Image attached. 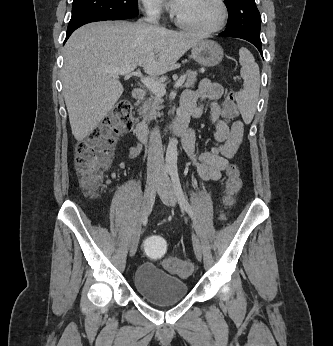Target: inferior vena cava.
Instances as JSON below:
<instances>
[{"label": "inferior vena cava", "mask_w": 333, "mask_h": 346, "mask_svg": "<svg viewBox=\"0 0 333 346\" xmlns=\"http://www.w3.org/2000/svg\"><path fill=\"white\" fill-rule=\"evenodd\" d=\"M159 15L148 14L143 20L158 27ZM164 156L161 134L158 127L152 129L148 145L147 172L148 179L159 177L163 173Z\"/></svg>", "instance_id": "obj_1"}]
</instances>
